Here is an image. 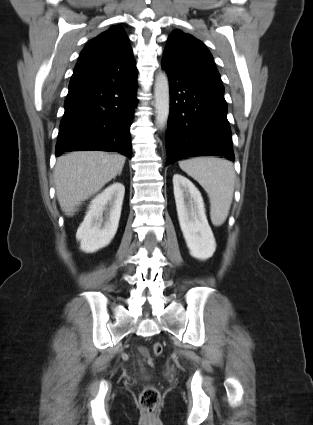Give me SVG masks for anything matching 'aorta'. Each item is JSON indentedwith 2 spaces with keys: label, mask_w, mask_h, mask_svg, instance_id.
I'll return each instance as SVG.
<instances>
[{
  "label": "aorta",
  "mask_w": 313,
  "mask_h": 425,
  "mask_svg": "<svg viewBox=\"0 0 313 425\" xmlns=\"http://www.w3.org/2000/svg\"><path fill=\"white\" fill-rule=\"evenodd\" d=\"M154 99L156 110V123L160 129L167 123L170 109L169 81L167 74L160 71L155 79Z\"/></svg>",
  "instance_id": "1"
}]
</instances>
